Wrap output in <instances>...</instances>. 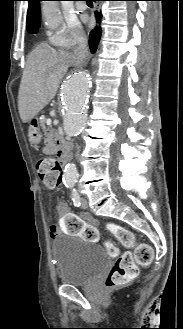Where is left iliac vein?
<instances>
[{
	"instance_id": "obj_1",
	"label": "left iliac vein",
	"mask_w": 183,
	"mask_h": 329,
	"mask_svg": "<svg viewBox=\"0 0 183 329\" xmlns=\"http://www.w3.org/2000/svg\"><path fill=\"white\" fill-rule=\"evenodd\" d=\"M81 208L82 209H87L88 208V202L85 198L81 199Z\"/></svg>"
}]
</instances>
